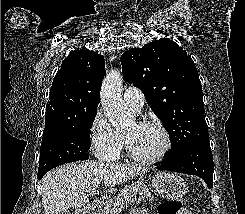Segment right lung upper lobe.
Returning a JSON list of instances; mask_svg holds the SVG:
<instances>
[{"instance_id": "obj_1", "label": "right lung upper lobe", "mask_w": 245, "mask_h": 214, "mask_svg": "<svg viewBox=\"0 0 245 214\" xmlns=\"http://www.w3.org/2000/svg\"><path fill=\"white\" fill-rule=\"evenodd\" d=\"M105 73L102 55L84 48L72 51L53 79L43 135L75 126L97 110Z\"/></svg>"}]
</instances>
